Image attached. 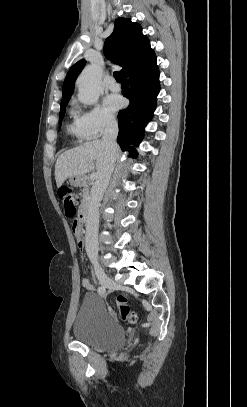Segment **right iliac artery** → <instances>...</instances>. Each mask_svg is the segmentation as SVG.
<instances>
[{
	"mask_svg": "<svg viewBox=\"0 0 247 407\" xmlns=\"http://www.w3.org/2000/svg\"><path fill=\"white\" fill-rule=\"evenodd\" d=\"M98 293L101 295L106 294V288L104 286L98 287Z\"/></svg>",
	"mask_w": 247,
	"mask_h": 407,
	"instance_id": "obj_1",
	"label": "right iliac artery"
}]
</instances>
